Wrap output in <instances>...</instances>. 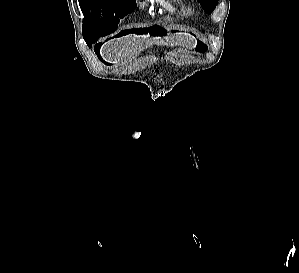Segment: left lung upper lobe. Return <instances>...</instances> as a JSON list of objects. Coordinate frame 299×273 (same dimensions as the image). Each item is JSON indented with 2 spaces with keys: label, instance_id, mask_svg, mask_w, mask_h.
Returning a JSON list of instances; mask_svg holds the SVG:
<instances>
[{
  "label": "left lung upper lobe",
  "instance_id": "1",
  "mask_svg": "<svg viewBox=\"0 0 299 273\" xmlns=\"http://www.w3.org/2000/svg\"><path fill=\"white\" fill-rule=\"evenodd\" d=\"M205 12L211 14L215 9L218 0H197Z\"/></svg>",
  "mask_w": 299,
  "mask_h": 273
}]
</instances>
